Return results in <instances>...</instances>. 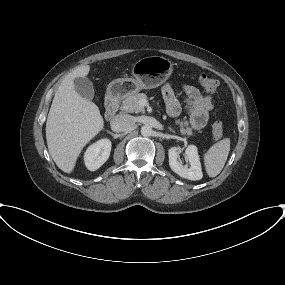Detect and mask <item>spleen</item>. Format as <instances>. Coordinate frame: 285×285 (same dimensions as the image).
I'll use <instances>...</instances> for the list:
<instances>
[{"instance_id": "3e777b00", "label": "spleen", "mask_w": 285, "mask_h": 285, "mask_svg": "<svg viewBox=\"0 0 285 285\" xmlns=\"http://www.w3.org/2000/svg\"><path fill=\"white\" fill-rule=\"evenodd\" d=\"M230 152V139L213 144L204 155L205 169L209 177H216L223 169Z\"/></svg>"}]
</instances>
